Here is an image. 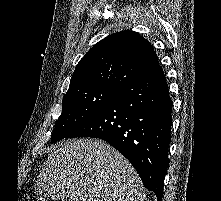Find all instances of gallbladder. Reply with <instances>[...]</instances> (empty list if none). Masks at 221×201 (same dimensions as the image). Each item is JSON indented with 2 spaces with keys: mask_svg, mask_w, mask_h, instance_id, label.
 Wrapping results in <instances>:
<instances>
[{
  "mask_svg": "<svg viewBox=\"0 0 221 201\" xmlns=\"http://www.w3.org/2000/svg\"><path fill=\"white\" fill-rule=\"evenodd\" d=\"M50 198L51 196L47 192L39 193L40 201H48Z\"/></svg>",
  "mask_w": 221,
  "mask_h": 201,
  "instance_id": "1",
  "label": "gallbladder"
}]
</instances>
